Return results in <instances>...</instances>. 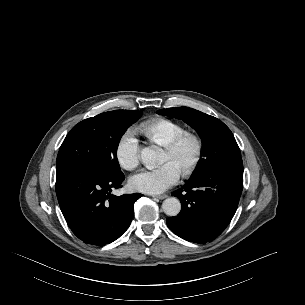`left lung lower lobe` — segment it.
I'll list each match as a JSON object with an SVG mask.
<instances>
[{
  "label": "left lung lower lobe",
  "mask_w": 305,
  "mask_h": 305,
  "mask_svg": "<svg viewBox=\"0 0 305 305\" xmlns=\"http://www.w3.org/2000/svg\"><path fill=\"white\" fill-rule=\"evenodd\" d=\"M243 187L241 158L225 161L193 176L172 193L182 204L181 212L166 219L179 237L195 243L211 242L233 218Z\"/></svg>",
  "instance_id": "left-lung-lower-lobe-1"
}]
</instances>
